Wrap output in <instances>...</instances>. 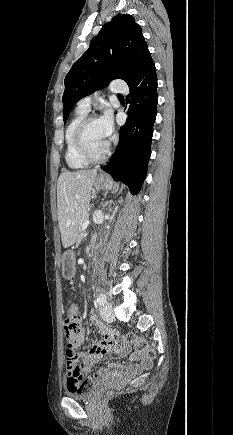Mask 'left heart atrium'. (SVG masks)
<instances>
[{
  "mask_svg": "<svg viewBox=\"0 0 233 435\" xmlns=\"http://www.w3.org/2000/svg\"><path fill=\"white\" fill-rule=\"evenodd\" d=\"M99 121L103 127L105 134L110 137L113 132V120L111 112L109 110L105 111Z\"/></svg>",
  "mask_w": 233,
  "mask_h": 435,
  "instance_id": "obj_1",
  "label": "left heart atrium"
}]
</instances>
